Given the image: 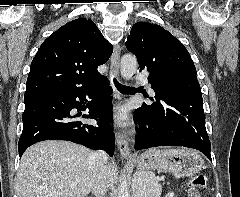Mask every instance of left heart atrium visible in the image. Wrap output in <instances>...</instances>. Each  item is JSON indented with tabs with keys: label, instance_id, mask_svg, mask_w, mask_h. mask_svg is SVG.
Here are the masks:
<instances>
[{
	"label": "left heart atrium",
	"instance_id": "left-heart-atrium-1",
	"mask_svg": "<svg viewBox=\"0 0 240 197\" xmlns=\"http://www.w3.org/2000/svg\"><path fill=\"white\" fill-rule=\"evenodd\" d=\"M115 119L119 123L125 122L126 119H127L126 111L123 110V109L118 110L116 115H115Z\"/></svg>",
	"mask_w": 240,
	"mask_h": 197
}]
</instances>
